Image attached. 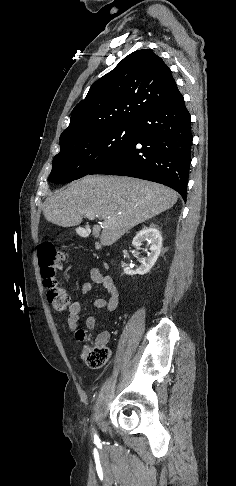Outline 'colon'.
<instances>
[{"label":"colon","mask_w":236,"mask_h":486,"mask_svg":"<svg viewBox=\"0 0 236 486\" xmlns=\"http://www.w3.org/2000/svg\"><path fill=\"white\" fill-rule=\"evenodd\" d=\"M64 254L57 251L51 244H42L38 249V261L41 268L43 282L47 288V299L53 310L62 312L70 304V296L56 278V271L61 266ZM76 339L83 342L86 334L79 329L75 333ZM110 355L109 349L104 344L85 345L82 358L87 365L93 368L102 367Z\"/></svg>","instance_id":"1"}]
</instances>
